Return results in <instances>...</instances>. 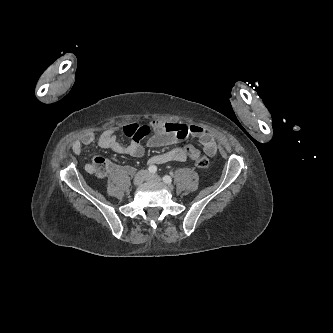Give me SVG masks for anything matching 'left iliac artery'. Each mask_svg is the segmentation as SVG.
Listing matches in <instances>:
<instances>
[{"label":"left iliac artery","mask_w":333,"mask_h":333,"mask_svg":"<svg viewBox=\"0 0 333 333\" xmlns=\"http://www.w3.org/2000/svg\"><path fill=\"white\" fill-rule=\"evenodd\" d=\"M163 181H164L166 184H171V182H172V178H171L170 176H168V175H165V176L163 177Z\"/></svg>","instance_id":"1"}]
</instances>
